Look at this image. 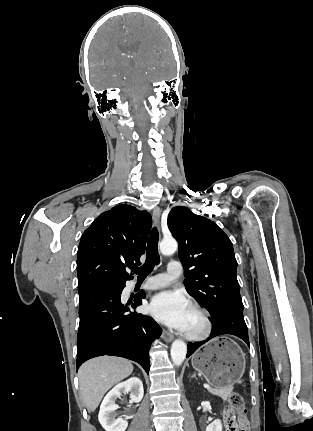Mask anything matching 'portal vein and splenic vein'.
I'll return each instance as SVG.
<instances>
[{
    "mask_svg": "<svg viewBox=\"0 0 313 431\" xmlns=\"http://www.w3.org/2000/svg\"><path fill=\"white\" fill-rule=\"evenodd\" d=\"M204 388L209 389V388H210V386H209L208 384H204Z\"/></svg>",
    "mask_w": 313,
    "mask_h": 431,
    "instance_id": "1",
    "label": "portal vein and splenic vein"
}]
</instances>
